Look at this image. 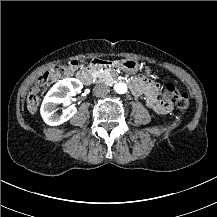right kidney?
Segmentation results:
<instances>
[{
  "mask_svg": "<svg viewBox=\"0 0 217 217\" xmlns=\"http://www.w3.org/2000/svg\"><path fill=\"white\" fill-rule=\"evenodd\" d=\"M83 88L82 83L77 79H65L58 82L46 95L42 106L41 115L44 122L49 126H58L71 119L77 112V107L69 106L58 113L59 104H67L69 99L67 95L74 96Z\"/></svg>",
  "mask_w": 217,
  "mask_h": 217,
  "instance_id": "right-kidney-1",
  "label": "right kidney"
}]
</instances>
